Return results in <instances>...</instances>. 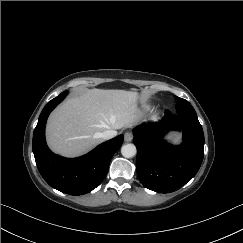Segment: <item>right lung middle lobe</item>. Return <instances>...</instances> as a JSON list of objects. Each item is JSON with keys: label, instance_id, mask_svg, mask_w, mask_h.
<instances>
[{"label": "right lung middle lobe", "instance_id": "1", "mask_svg": "<svg viewBox=\"0 0 243 243\" xmlns=\"http://www.w3.org/2000/svg\"><path fill=\"white\" fill-rule=\"evenodd\" d=\"M66 95H67V91L61 93V94H60L59 96H57V97H65Z\"/></svg>", "mask_w": 243, "mask_h": 243}]
</instances>
